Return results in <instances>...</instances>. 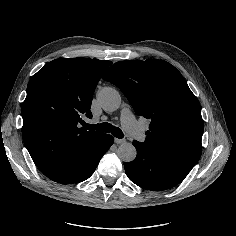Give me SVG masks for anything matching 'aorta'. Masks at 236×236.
I'll return each mask as SVG.
<instances>
[{
    "instance_id": "obj_1",
    "label": "aorta",
    "mask_w": 236,
    "mask_h": 236,
    "mask_svg": "<svg viewBox=\"0 0 236 236\" xmlns=\"http://www.w3.org/2000/svg\"><path fill=\"white\" fill-rule=\"evenodd\" d=\"M97 99L102 108L107 112L117 110L121 104L119 92L112 87H104L99 91ZM117 155L121 161L130 162L136 158L137 151L131 143L124 142L119 146Z\"/></svg>"
}]
</instances>
